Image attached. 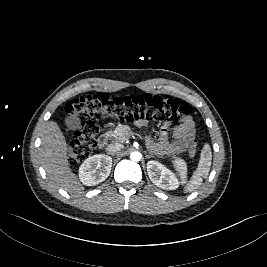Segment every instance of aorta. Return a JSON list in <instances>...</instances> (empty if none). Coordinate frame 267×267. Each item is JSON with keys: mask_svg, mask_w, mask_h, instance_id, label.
Returning a JSON list of instances; mask_svg holds the SVG:
<instances>
[{"mask_svg": "<svg viewBox=\"0 0 267 267\" xmlns=\"http://www.w3.org/2000/svg\"><path fill=\"white\" fill-rule=\"evenodd\" d=\"M142 158V154L138 151H134L130 154V159L134 162L140 161Z\"/></svg>", "mask_w": 267, "mask_h": 267, "instance_id": "aorta-1", "label": "aorta"}]
</instances>
